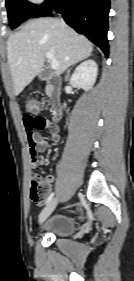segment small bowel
<instances>
[{"mask_svg": "<svg viewBox=\"0 0 134 281\" xmlns=\"http://www.w3.org/2000/svg\"><path fill=\"white\" fill-rule=\"evenodd\" d=\"M23 124L29 141L31 167L33 171H36L39 167L46 164L44 157L39 156L38 153L45 152L49 147L48 142L41 136L40 131L46 128L49 129L53 145L59 144L61 139L60 132L55 124L36 113H28L24 115ZM55 180L56 176L54 174H50L46 177L45 182L48 185H51L55 182Z\"/></svg>", "mask_w": 134, "mask_h": 281, "instance_id": "1", "label": "small bowel"}]
</instances>
